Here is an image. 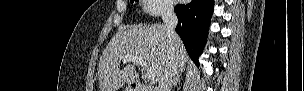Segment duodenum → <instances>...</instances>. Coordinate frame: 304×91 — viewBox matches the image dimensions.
<instances>
[{
  "label": "duodenum",
  "instance_id": "1",
  "mask_svg": "<svg viewBox=\"0 0 304 91\" xmlns=\"http://www.w3.org/2000/svg\"><path fill=\"white\" fill-rule=\"evenodd\" d=\"M131 91H152L151 89L146 88L143 84L139 82L132 83Z\"/></svg>",
  "mask_w": 304,
  "mask_h": 91
}]
</instances>
